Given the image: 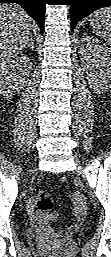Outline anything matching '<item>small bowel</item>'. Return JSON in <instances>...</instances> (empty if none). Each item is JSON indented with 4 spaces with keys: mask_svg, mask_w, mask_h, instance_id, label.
Instances as JSON below:
<instances>
[{
    "mask_svg": "<svg viewBox=\"0 0 111 257\" xmlns=\"http://www.w3.org/2000/svg\"><path fill=\"white\" fill-rule=\"evenodd\" d=\"M28 213L32 220H34V205L33 203H30L28 205Z\"/></svg>",
    "mask_w": 111,
    "mask_h": 257,
    "instance_id": "small-bowel-1",
    "label": "small bowel"
}]
</instances>
